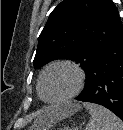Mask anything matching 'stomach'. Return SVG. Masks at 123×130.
I'll list each match as a JSON object with an SVG mask.
<instances>
[{
	"instance_id": "stomach-1",
	"label": "stomach",
	"mask_w": 123,
	"mask_h": 130,
	"mask_svg": "<svg viewBox=\"0 0 123 130\" xmlns=\"http://www.w3.org/2000/svg\"><path fill=\"white\" fill-rule=\"evenodd\" d=\"M63 130H74V129H69L68 127L64 128Z\"/></svg>"
}]
</instances>
